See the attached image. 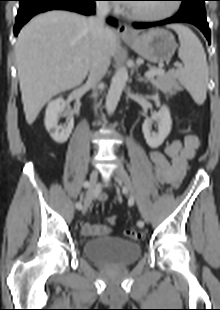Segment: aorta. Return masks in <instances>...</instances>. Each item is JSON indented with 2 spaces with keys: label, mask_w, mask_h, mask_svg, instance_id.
<instances>
[{
  "label": "aorta",
  "mask_w": 220,
  "mask_h": 310,
  "mask_svg": "<svg viewBox=\"0 0 220 310\" xmlns=\"http://www.w3.org/2000/svg\"><path fill=\"white\" fill-rule=\"evenodd\" d=\"M128 79V70L125 66L117 69L106 97V109L109 114H112L120 100L122 90L124 89Z\"/></svg>",
  "instance_id": "1"
}]
</instances>
